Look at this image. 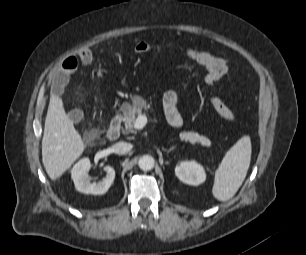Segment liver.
Instances as JSON below:
<instances>
[{"label": "liver", "instance_id": "1", "mask_svg": "<svg viewBox=\"0 0 306 255\" xmlns=\"http://www.w3.org/2000/svg\"><path fill=\"white\" fill-rule=\"evenodd\" d=\"M84 149L81 135L66 114L62 99L52 95L42 139V162L48 176L52 180L59 178Z\"/></svg>", "mask_w": 306, "mask_h": 255}]
</instances>
